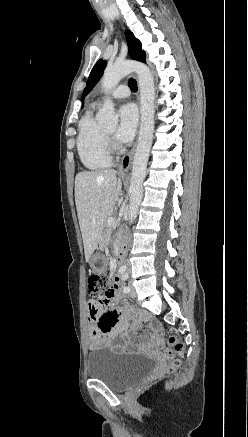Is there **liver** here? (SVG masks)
<instances>
[{"instance_id": "6515ba94", "label": "liver", "mask_w": 248, "mask_h": 437, "mask_svg": "<svg viewBox=\"0 0 248 437\" xmlns=\"http://www.w3.org/2000/svg\"><path fill=\"white\" fill-rule=\"evenodd\" d=\"M115 170L82 171L75 177V203L88 261L104 237L105 223L121 193Z\"/></svg>"}]
</instances>
